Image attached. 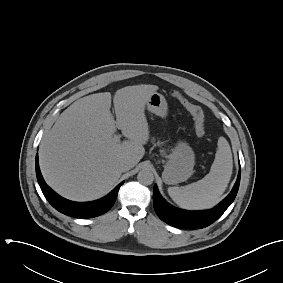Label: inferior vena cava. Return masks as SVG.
Masks as SVG:
<instances>
[{"instance_id":"obj_1","label":"inferior vena cava","mask_w":283,"mask_h":283,"mask_svg":"<svg viewBox=\"0 0 283 283\" xmlns=\"http://www.w3.org/2000/svg\"><path fill=\"white\" fill-rule=\"evenodd\" d=\"M131 168V163L127 161H122L119 163V169L122 172L128 171Z\"/></svg>"}]
</instances>
